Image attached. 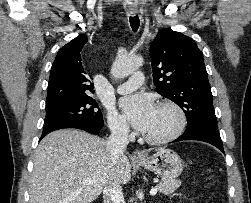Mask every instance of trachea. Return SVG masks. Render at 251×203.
Here are the masks:
<instances>
[{
	"label": "trachea",
	"instance_id": "1",
	"mask_svg": "<svg viewBox=\"0 0 251 203\" xmlns=\"http://www.w3.org/2000/svg\"><path fill=\"white\" fill-rule=\"evenodd\" d=\"M130 26L134 32H136L140 26V20L138 15L130 17Z\"/></svg>",
	"mask_w": 251,
	"mask_h": 203
}]
</instances>
